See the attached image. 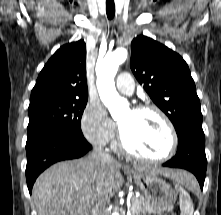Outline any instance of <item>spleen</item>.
Here are the masks:
<instances>
[{"label":"spleen","instance_id":"obj_1","mask_svg":"<svg viewBox=\"0 0 221 215\" xmlns=\"http://www.w3.org/2000/svg\"><path fill=\"white\" fill-rule=\"evenodd\" d=\"M194 178L192 177L191 181H188L184 184L186 187L193 188ZM175 188L180 191V210L181 215H193L194 208L189 194L185 191L183 187H180L178 184L175 185Z\"/></svg>","mask_w":221,"mask_h":215}]
</instances>
